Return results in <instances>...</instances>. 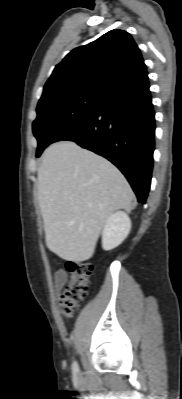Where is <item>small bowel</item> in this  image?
Listing matches in <instances>:
<instances>
[{
	"label": "small bowel",
	"mask_w": 182,
	"mask_h": 399,
	"mask_svg": "<svg viewBox=\"0 0 182 399\" xmlns=\"http://www.w3.org/2000/svg\"><path fill=\"white\" fill-rule=\"evenodd\" d=\"M67 281V273L60 269L54 274V288L57 292H60Z\"/></svg>",
	"instance_id": "obj_1"
}]
</instances>
